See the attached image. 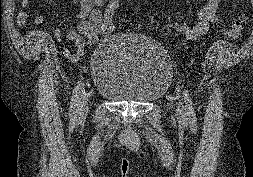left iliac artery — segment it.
Listing matches in <instances>:
<instances>
[{
  "instance_id": "1",
  "label": "left iliac artery",
  "mask_w": 253,
  "mask_h": 177,
  "mask_svg": "<svg viewBox=\"0 0 253 177\" xmlns=\"http://www.w3.org/2000/svg\"><path fill=\"white\" fill-rule=\"evenodd\" d=\"M183 97H184V103H185V107H186V112L187 115L189 116L191 123H195V112H194V108H193V103H192V99L188 93V91L184 90L183 91Z\"/></svg>"
}]
</instances>
